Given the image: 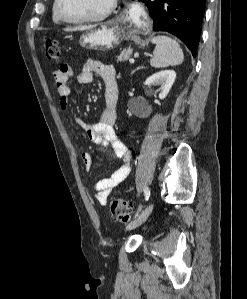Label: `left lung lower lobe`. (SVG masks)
Segmentation results:
<instances>
[{"instance_id":"left-lung-lower-lobe-1","label":"left lung lower lobe","mask_w":247,"mask_h":299,"mask_svg":"<svg viewBox=\"0 0 247 299\" xmlns=\"http://www.w3.org/2000/svg\"><path fill=\"white\" fill-rule=\"evenodd\" d=\"M149 7L154 31H166L181 39L196 56L206 0H139Z\"/></svg>"}]
</instances>
